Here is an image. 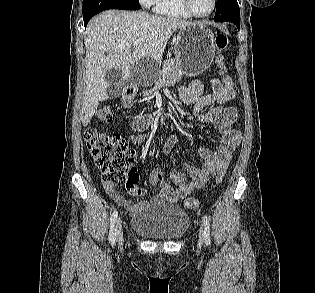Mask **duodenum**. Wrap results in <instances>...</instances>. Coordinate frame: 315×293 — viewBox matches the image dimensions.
Segmentation results:
<instances>
[{
    "label": "duodenum",
    "instance_id": "duodenum-1",
    "mask_svg": "<svg viewBox=\"0 0 315 293\" xmlns=\"http://www.w3.org/2000/svg\"><path fill=\"white\" fill-rule=\"evenodd\" d=\"M126 93H131V96H134L136 94V87L134 85H128L123 91V96H126ZM148 124L149 119L142 118L135 123V128L138 130H142L145 129L148 126Z\"/></svg>",
    "mask_w": 315,
    "mask_h": 293
}]
</instances>
